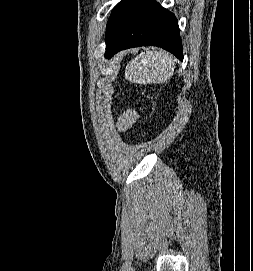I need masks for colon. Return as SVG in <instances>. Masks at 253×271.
<instances>
[{
  "instance_id": "obj_1",
  "label": "colon",
  "mask_w": 253,
  "mask_h": 271,
  "mask_svg": "<svg viewBox=\"0 0 253 271\" xmlns=\"http://www.w3.org/2000/svg\"><path fill=\"white\" fill-rule=\"evenodd\" d=\"M149 100L152 102L153 105L151 119L154 120L157 114V102L153 96H149Z\"/></svg>"
}]
</instances>
